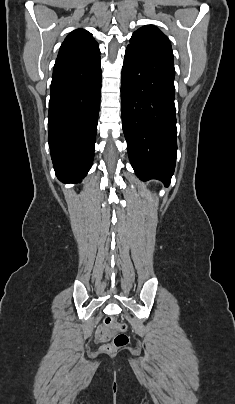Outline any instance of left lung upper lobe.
I'll list each match as a JSON object with an SVG mask.
<instances>
[{
	"label": "left lung upper lobe",
	"mask_w": 235,
	"mask_h": 404,
	"mask_svg": "<svg viewBox=\"0 0 235 404\" xmlns=\"http://www.w3.org/2000/svg\"><path fill=\"white\" fill-rule=\"evenodd\" d=\"M127 48L137 49L171 64L174 61L168 37L153 25L135 31Z\"/></svg>",
	"instance_id": "1"
}]
</instances>
